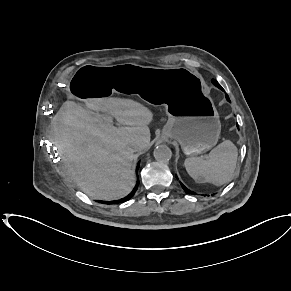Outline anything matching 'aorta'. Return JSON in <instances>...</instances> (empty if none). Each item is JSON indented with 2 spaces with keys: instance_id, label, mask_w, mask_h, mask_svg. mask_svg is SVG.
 Segmentation results:
<instances>
[{
  "instance_id": "obj_1",
  "label": "aorta",
  "mask_w": 291,
  "mask_h": 291,
  "mask_svg": "<svg viewBox=\"0 0 291 291\" xmlns=\"http://www.w3.org/2000/svg\"><path fill=\"white\" fill-rule=\"evenodd\" d=\"M154 157L157 161L167 162L172 157V151L167 145H160L154 150Z\"/></svg>"
}]
</instances>
